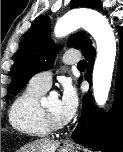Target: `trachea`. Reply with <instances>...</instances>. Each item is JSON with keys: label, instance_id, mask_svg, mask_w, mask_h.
Masks as SVG:
<instances>
[{"label": "trachea", "instance_id": "3493384b", "mask_svg": "<svg viewBox=\"0 0 123 152\" xmlns=\"http://www.w3.org/2000/svg\"><path fill=\"white\" fill-rule=\"evenodd\" d=\"M86 61L85 60H82L78 63L77 67L80 68V69H84L86 68Z\"/></svg>", "mask_w": 123, "mask_h": 152}]
</instances>
